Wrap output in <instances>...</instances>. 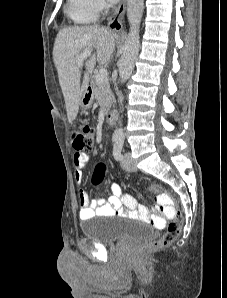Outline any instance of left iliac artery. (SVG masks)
<instances>
[{"label": "left iliac artery", "instance_id": "obj_1", "mask_svg": "<svg viewBox=\"0 0 227 298\" xmlns=\"http://www.w3.org/2000/svg\"><path fill=\"white\" fill-rule=\"evenodd\" d=\"M124 139L119 138L115 141L114 147H113V156L116 160L120 161L123 159L122 155V148H123Z\"/></svg>", "mask_w": 227, "mask_h": 298}]
</instances>
